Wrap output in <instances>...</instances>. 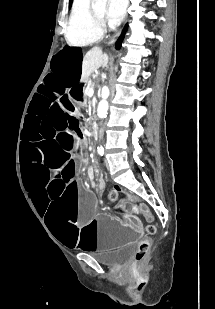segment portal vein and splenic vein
Segmentation results:
<instances>
[{
  "label": "portal vein and splenic vein",
  "mask_w": 215,
  "mask_h": 309,
  "mask_svg": "<svg viewBox=\"0 0 215 309\" xmlns=\"http://www.w3.org/2000/svg\"><path fill=\"white\" fill-rule=\"evenodd\" d=\"M86 92H87L88 96H93V94H94L93 88H87Z\"/></svg>",
  "instance_id": "1"
}]
</instances>
